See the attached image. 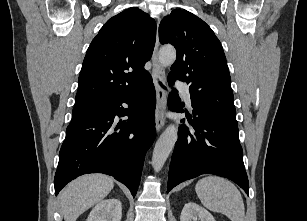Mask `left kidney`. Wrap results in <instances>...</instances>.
Segmentation results:
<instances>
[{"instance_id": "left-kidney-1", "label": "left kidney", "mask_w": 307, "mask_h": 221, "mask_svg": "<svg viewBox=\"0 0 307 221\" xmlns=\"http://www.w3.org/2000/svg\"><path fill=\"white\" fill-rule=\"evenodd\" d=\"M216 221L210 212L194 202L185 204L180 221Z\"/></svg>"}]
</instances>
